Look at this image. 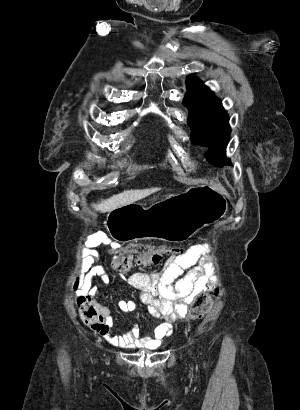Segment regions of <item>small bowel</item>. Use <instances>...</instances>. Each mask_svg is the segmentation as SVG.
I'll return each instance as SVG.
<instances>
[{"label":"small bowel","mask_w":300,"mask_h":410,"mask_svg":"<svg viewBox=\"0 0 300 410\" xmlns=\"http://www.w3.org/2000/svg\"><path fill=\"white\" fill-rule=\"evenodd\" d=\"M105 242L106 237L103 234L93 235L85 242L86 251L83 253L85 259L82 268L87 274L75 297L79 317L85 325L113 346L155 349L172 333V321L184 316L195 296L208 290L215 282L208 246L195 244L184 254L170 256L161 273L136 272L129 276H121L129 286L140 292V299L147 305L148 312L160 322L152 332L145 335L141 334L138 325L112 335L111 330L115 326V321L111 310L98 300L100 288L92 282L94 277H98L103 284L110 282L107 269L95 264L91 254V250ZM117 307L122 313H128L136 310L137 304L132 300H120Z\"/></svg>","instance_id":"small-bowel-1"}]
</instances>
